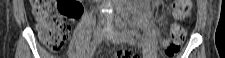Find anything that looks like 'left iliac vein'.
I'll return each mask as SVG.
<instances>
[{
    "instance_id": "1",
    "label": "left iliac vein",
    "mask_w": 225,
    "mask_h": 58,
    "mask_svg": "<svg viewBox=\"0 0 225 58\" xmlns=\"http://www.w3.org/2000/svg\"><path fill=\"white\" fill-rule=\"evenodd\" d=\"M125 36L126 35L124 33L120 32L119 30H115L113 32L112 38H113L114 43L122 44L127 41Z\"/></svg>"
}]
</instances>
